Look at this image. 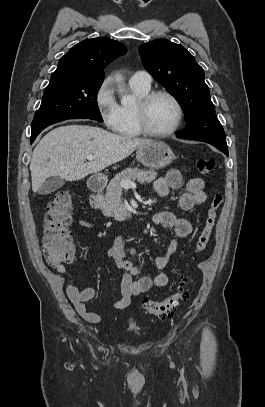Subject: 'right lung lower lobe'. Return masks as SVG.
<instances>
[{"label":"right lung lower lobe","instance_id":"right-lung-lower-lobe-1","mask_svg":"<svg viewBox=\"0 0 265 407\" xmlns=\"http://www.w3.org/2000/svg\"><path fill=\"white\" fill-rule=\"evenodd\" d=\"M36 136H32L30 141L33 142L35 140Z\"/></svg>","mask_w":265,"mask_h":407}]
</instances>
